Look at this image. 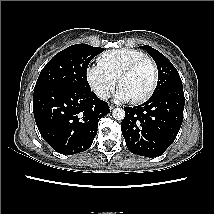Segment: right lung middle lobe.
I'll list each match as a JSON object with an SVG mask.
<instances>
[{
  "label": "right lung middle lobe",
  "mask_w": 214,
  "mask_h": 214,
  "mask_svg": "<svg viewBox=\"0 0 214 214\" xmlns=\"http://www.w3.org/2000/svg\"><path fill=\"white\" fill-rule=\"evenodd\" d=\"M103 48L87 44L72 45L57 53L42 69L34 90L57 85L91 91L86 72L90 61Z\"/></svg>",
  "instance_id": "right-lung-middle-lobe-1"
}]
</instances>
